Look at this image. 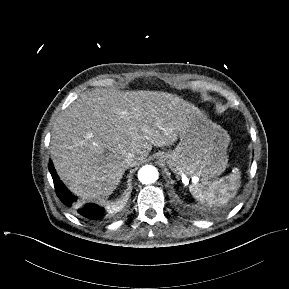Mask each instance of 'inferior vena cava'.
I'll use <instances>...</instances> for the list:
<instances>
[{"instance_id":"obj_1","label":"inferior vena cava","mask_w":289,"mask_h":289,"mask_svg":"<svg viewBox=\"0 0 289 289\" xmlns=\"http://www.w3.org/2000/svg\"><path fill=\"white\" fill-rule=\"evenodd\" d=\"M137 164V158L133 153H127L124 159V165L126 168L133 167Z\"/></svg>"}]
</instances>
